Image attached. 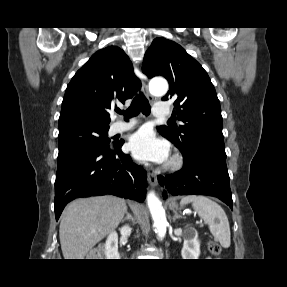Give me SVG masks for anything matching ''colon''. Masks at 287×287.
Wrapping results in <instances>:
<instances>
[{"instance_id":"1","label":"colon","mask_w":287,"mask_h":287,"mask_svg":"<svg viewBox=\"0 0 287 287\" xmlns=\"http://www.w3.org/2000/svg\"><path fill=\"white\" fill-rule=\"evenodd\" d=\"M208 250L213 256H218L221 253V246L214 241L208 242Z\"/></svg>"}]
</instances>
